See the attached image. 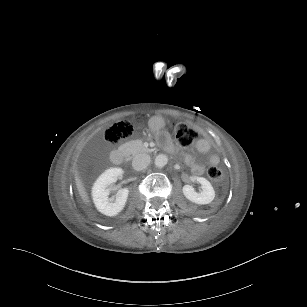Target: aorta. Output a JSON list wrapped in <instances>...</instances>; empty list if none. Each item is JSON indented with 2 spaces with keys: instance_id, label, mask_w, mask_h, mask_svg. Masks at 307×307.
<instances>
[{
  "instance_id": "762f6f07",
  "label": "aorta",
  "mask_w": 307,
  "mask_h": 307,
  "mask_svg": "<svg viewBox=\"0 0 307 307\" xmlns=\"http://www.w3.org/2000/svg\"><path fill=\"white\" fill-rule=\"evenodd\" d=\"M168 162V158L165 155H158L154 160V165L157 168H163Z\"/></svg>"
}]
</instances>
